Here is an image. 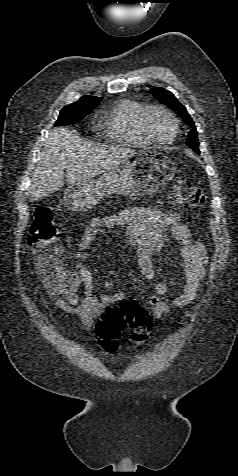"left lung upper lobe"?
I'll use <instances>...</instances> for the list:
<instances>
[{"mask_svg": "<svg viewBox=\"0 0 238 476\" xmlns=\"http://www.w3.org/2000/svg\"><path fill=\"white\" fill-rule=\"evenodd\" d=\"M153 91L154 97L165 103L168 107L173 109L177 112L183 120L193 127V129L189 132L186 144L188 147L192 148L193 150L199 152V142L197 138V130L195 128V124L192 121L190 115L188 114L184 105H182L176 97L168 90H165L161 87H155L151 89Z\"/></svg>", "mask_w": 238, "mask_h": 476, "instance_id": "1", "label": "left lung upper lobe"}]
</instances>
